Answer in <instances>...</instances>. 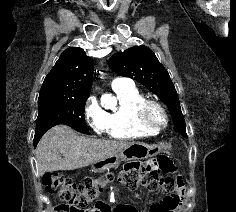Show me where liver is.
Here are the masks:
<instances>
[{
	"instance_id": "1",
	"label": "liver",
	"mask_w": 236,
	"mask_h": 212,
	"mask_svg": "<svg viewBox=\"0 0 236 212\" xmlns=\"http://www.w3.org/2000/svg\"><path fill=\"white\" fill-rule=\"evenodd\" d=\"M132 144L134 142L79 136L70 127L58 125L40 139L36 166L39 173L83 168L116 155Z\"/></svg>"
}]
</instances>
